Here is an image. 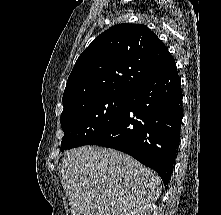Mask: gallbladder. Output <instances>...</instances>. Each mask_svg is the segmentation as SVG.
Listing matches in <instances>:
<instances>
[{
  "label": "gallbladder",
  "instance_id": "bac80fb5",
  "mask_svg": "<svg viewBox=\"0 0 221 215\" xmlns=\"http://www.w3.org/2000/svg\"><path fill=\"white\" fill-rule=\"evenodd\" d=\"M88 215H91V214H88ZM92 215H96V212L94 211Z\"/></svg>",
  "mask_w": 221,
  "mask_h": 215
}]
</instances>
